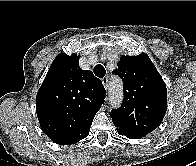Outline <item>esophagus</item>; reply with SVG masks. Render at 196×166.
Returning a JSON list of instances; mask_svg holds the SVG:
<instances>
[{
    "instance_id": "esophagus-1",
    "label": "esophagus",
    "mask_w": 196,
    "mask_h": 166,
    "mask_svg": "<svg viewBox=\"0 0 196 166\" xmlns=\"http://www.w3.org/2000/svg\"><path fill=\"white\" fill-rule=\"evenodd\" d=\"M102 83H103L104 87L107 89L108 88V77H103Z\"/></svg>"
}]
</instances>
